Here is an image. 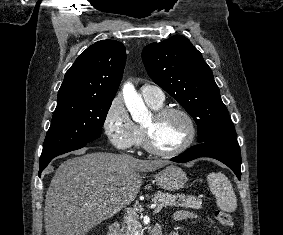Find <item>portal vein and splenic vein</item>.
Listing matches in <instances>:
<instances>
[{"mask_svg":"<svg viewBox=\"0 0 283 235\" xmlns=\"http://www.w3.org/2000/svg\"><path fill=\"white\" fill-rule=\"evenodd\" d=\"M151 208L154 209L153 213L156 214V213L160 212V210L163 208V204L153 205V206H151ZM126 212H127L128 215L136 214V210L133 209V208H127Z\"/></svg>","mask_w":283,"mask_h":235,"instance_id":"portal-vein-and-splenic-vein-1","label":"portal vein and splenic vein"}]
</instances>
